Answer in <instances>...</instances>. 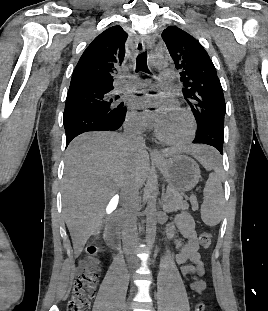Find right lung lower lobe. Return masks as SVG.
<instances>
[{"label":"right lung lower lobe","instance_id":"obj_1","mask_svg":"<svg viewBox=\"0 0 268 311\" xmlns=\"http://www.w3.org/2000/svg\"><path fill=\"white\" fill-rule=\"evenodd\" d=\"M126 107L112 116L78 110L64 119L66 132V146L73 138L88 131H115L121 127L125 120Z\"/></svg>","mask_w":268,"mask_h":311}]
</instances>
